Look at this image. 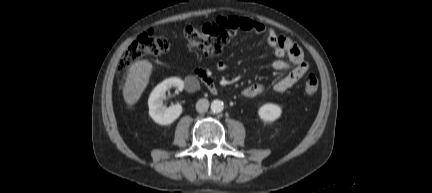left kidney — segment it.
I'll return each mask as SVG.
<instances>
[{"label":"left kidney","instance_id":"left-kidney-1","mask_svg":"<svg viewBox=\"0 0 432 193\" xmlns=\"http://www.w3.org/2000/svg\"><path fill=\"white\" fill-rule=\"evenodd\" d=\"M281 114V107L273 103L264 104L258 110L259 117L266 122H273L277 120Z\"/></svg>","mask_w":432,"mask_h":193}]
</instances>
